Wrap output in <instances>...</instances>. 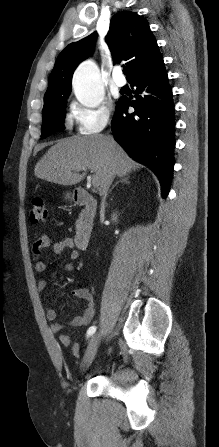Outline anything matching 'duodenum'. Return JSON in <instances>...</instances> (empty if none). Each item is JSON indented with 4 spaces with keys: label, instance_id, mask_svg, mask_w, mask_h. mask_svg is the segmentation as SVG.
Instances as JSON below:
<instances>
[{
    "label": "duodenum",
    "instance_id": "410a0bca",
    "mask_svg": "<svg viewBox=\"0 0 219 447\" xmlns=\"http://www.w3.org/2000/svg\"><path fill=\"white\" fill-rule=\"evenodd\" d=\"M75 203L83 208L74 241L79 249H86L92 236V224L97 210L95 199L85 190L75 193Z\"/></svg>",
    "mask_w": 219,
    "mask_h": 447
}]
</instances>
